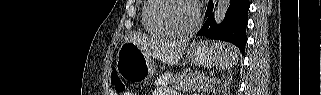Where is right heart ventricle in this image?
<instances>
[{"instance_id": "right-heart-ventricle-1", "label": "right heart ventricle", "mask_w": 321, "mask_h": 95, "mask_svg": "<svg viewBox=\"0 0 321 95\" xmlns=\"http://www.w3.org/2000/svg\"><path fill=\"white\" fill-rule=\"evenodd\" d=\"M154 4V0H146L142 6V24L146 31L154 36H166L162 30L158 29L150 18V10Z\"/></svg>"}]
</instances>
